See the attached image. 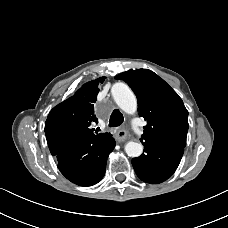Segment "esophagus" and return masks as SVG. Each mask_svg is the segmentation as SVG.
<instances>
[{
    "label": "esophagus",
    "mask_w": 228,
    "mask_h": 228,
    "mask_svg": "<svg viewBox=\"0 0 228 228\" xmlns=\"http://www.w3.org/2000/svg\"><path fill=\"white\" fill-rule=\"evenodd\" d=\"M118 142H123L127 139V132L124 129H119L115 135Z\"/></svg>",
    "instance_id": "esophagus-1"
}]
</instances>
